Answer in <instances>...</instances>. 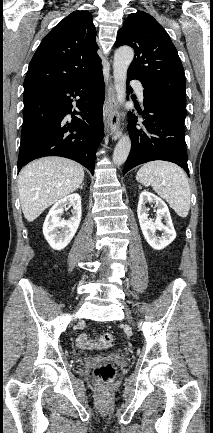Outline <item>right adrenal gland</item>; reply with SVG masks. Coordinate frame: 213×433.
Wrapping results in <instances>:
<instances>
[{
    "label": "right adrenal gland",
    "instance_id": "1",
    "mask_svg": "<svg viewBox=\"0 0 213 433\" xmlns=\"http://www.w3.org/2000/svg\"><path fill=\"white\" fill-rule=\"evenodd\" d=\"M80 189H83V184L80 186Z\"/></svg>",
    "mask_w": 213,
    "mask_h": 433
}]
</instances>
